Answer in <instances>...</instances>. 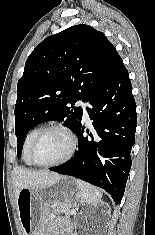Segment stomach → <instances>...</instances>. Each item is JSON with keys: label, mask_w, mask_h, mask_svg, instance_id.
I'll list each match as a JSON object with an SVG mask.
<instances>
[{"label": "stomach", "mask_w": 155, "mask_h": 235, "mask_svg": "<svg viewBox=\"0 0 155 235\" xmlns=\"http://www.w3.org/2000/svg\"><path fill=\"white\" fill-rule=\"evenodd\" d=\"M83 196L76 180L61 176L47 188H23L17 197V210L24 235H46L41 230L45 207L76 208Z\"/></svg>", "instance_id": "stomach-1"}]
</instances>
